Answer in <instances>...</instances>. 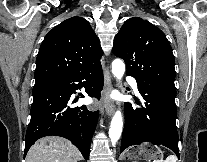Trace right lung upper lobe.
<instances>
[{
    "mask_svg": "<svg viewBox=\"0 0 207 162\" xmlns=\"http://www.w3.org/2000/svg\"><path fill=\"white\" fill-rule=\"evenodd\" d=\"M102 49L89 22L71 17L48 32L36 59L35 86L100 65Z\"/></svg>",
    "mask_w": 207,
    "mask_h": 162,
    "instance_id": "obj_1",
    "label": "right lung upper lobe"
}]
</instances>
